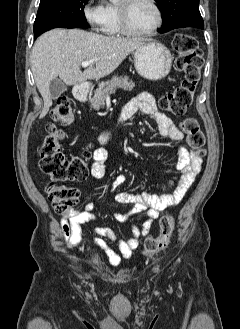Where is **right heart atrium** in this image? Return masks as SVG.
Returning <instances> with one entry per match:
<instances>
[{
  "label": "right heart atrium",
  "instance_id": "obj_1",
  "mask_svg": "<svg viewBox=\"0 0 240 329\" xmlns=\"http://www.w3.org/2000/svg\"><path fill=\"white\" fill-rule=\"evenodd\" d=\"M83 13L86 21L93 29L98 30L102 27L105 20V7L102 2L88 0Z\"/></svg>",
  "mask_w": 240,
  "mask_h": 329
}]
</instances>
